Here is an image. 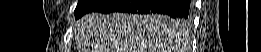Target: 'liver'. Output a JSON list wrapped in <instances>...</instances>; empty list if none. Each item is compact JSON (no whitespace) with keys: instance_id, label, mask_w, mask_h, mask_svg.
Here are the masks:
<instances>
[{"instance_id":"1","label":"liver","mask_w":261,"mask_h":52,"mask_svg":"<svg viewBox=\"0 0 261 52\" xmlns=\"http://www.w3.org/2000/svg\"><path fill=\"white\" fill-rule=\"evenodd\" d=\"M165 16L87 14L79 22L82 52H177L186 26Z\"/></svg>"}]
</instances>
